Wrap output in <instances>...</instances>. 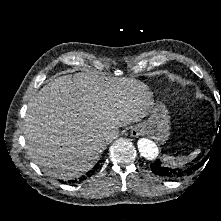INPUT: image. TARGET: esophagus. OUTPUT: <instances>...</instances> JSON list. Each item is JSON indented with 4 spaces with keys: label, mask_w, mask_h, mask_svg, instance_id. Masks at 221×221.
Segmentation results:
<instances>
[{
    "label": "esophagus",
    "mask_w": 221,
    "mask_h": 221,
    "mask_svg": "<svg viewBox=\"0 0 221 221\" xmlns=\"http://www.w3.org/2000/svg\"><path fill=\"white\" fill-rule=\"evenodd\" d=\"M143 134V129L140 126H135L132 130H131V136L132 137H139Z\"/></svg>",
    "instance_id": "1"
}]
</instances>
